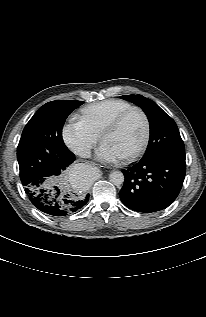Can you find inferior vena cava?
<instances>
[{"label":"inferior vena cava","instance_id":"obj_1","mask_svg":"<svg viewBox=\"0 0 206 317\" xmlns=\"http://www.w3.org/2000/svg\"><path fill=\"white\" fill-rule=\"evenodd\" d=\"M75 154L83 158H89L91 156V151L86 147H78L75 150Z\"/></svg>","mask_w":206,"mask_h":317}]
</instances>
